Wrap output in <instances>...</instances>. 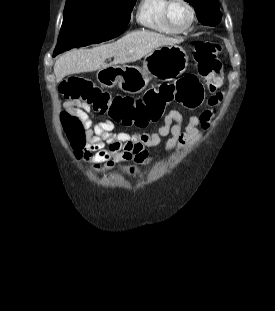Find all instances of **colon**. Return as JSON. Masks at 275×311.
Listing matches in <instances>:
<instances>
[{"mask_svg":"<svg viewBox=\"0 0 275 311\" xmlns=\"http://www.w3.org/2000/svg\"><path fill=\"white\" fill-rule=\"evenodd\" d=\"M222 46L215 42L199 41L195 45L194 57L198 65V76L189 74L172 83L159 85L137 100L111 95L94 85L89 79L69 76L60 87L66 101L86 103L94 110L114 121L116 125H136V129H149L151 121H161L164 110L172 103L186 108H196L203 101V86L199 77L208 79L221 72L219 55ZM67 133L75 146L84 140V126L80 118L70 112L61 115Z\"/></svg>","mask_w":275,"mask_h":311,"instance_id":"5ec220e1","label":"colon"}]
</instances>
